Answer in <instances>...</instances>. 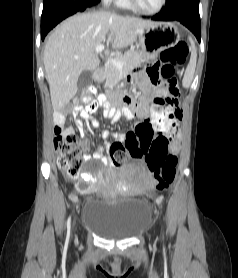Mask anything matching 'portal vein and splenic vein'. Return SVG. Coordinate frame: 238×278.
I'll return each mask as SVG.
<instances>
[{"label":"portal vein and splenic vein","mask_w":238,"mask_h":278,"mask_svg":"<svg viewBox=\"0 0 238 278\" xmlns=\"http://www.w3.org/2000/svg\"><path fill=\"white\" fill-rule=\"evenodd\" d=\"M104 45L103 44H100V45H97L96 46V48H95V51L97 52V53H100V52H102L103 50H104ZM108 62H110V63H112L114 66H116L117 68H119V69H121L122 68V66H123V63L122 62H120V61H117V60H115V59H108Z\"/></svg>","instance_id":"portal-vein-and-splenic-vein-1"}]
</instances>
